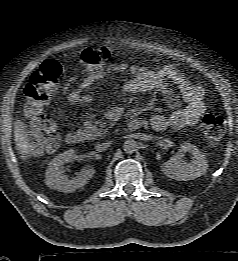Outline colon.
<instances>
[{
  "instance_id": "obj_1",
  "label": "colon",
  "mask_w": 238,
  "mask_h": 261,
  "mask_svg": "<svg viewBox=\"0 0 238 261\" xmlns=\"http://www.w3.org/2000/svg\"><path fill=\"white\" fill-rule=\"evenodd\" d=\"M81 60L91 73L98 74L109 62L110 52L105 47L87 48L82 52ZM62 71L58 61L46 60L32 74L25 87V115L37 139L35 150H55L59 145L58 127L45 112V107ZM201 129L209 142L218 143L226 132V119L217 112H207L201 119Z\"/></svg>"
}]
</instances>
